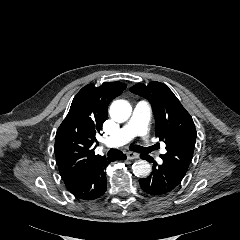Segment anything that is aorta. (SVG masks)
I'll return each mask as SVG.
<instances>
[{
  "label": "aorta",
  "mask_w": 240,
  "mask_h": 240,
  "mask_svg": "<svg viewBox=\"0 0 240 240\" xmlns=\"http://www.w3.org/2000/svg\"><path fill=\"white\" fill-rule=\"evenodd\" d=\"M110 116L116 122H124L129 119L132 107L126 100H115L109 109ZM151 165L146 160H138L132 165V171L137 177H147L151 172Z\"/></svg>",
  "instance_id": "obj_1"
}]
</instances>
